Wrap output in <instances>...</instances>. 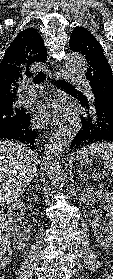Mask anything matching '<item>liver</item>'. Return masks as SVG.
I'll return each mask as SVG.
<instances>
[{
  "mask_svg": "<svg viewBox=\"0 0 113 279\" xmlns=\"http://www.w3.org/2000/svg\"><path fill=\"white\" fill-rule=\"evenodd\" d=\"M39 163L25 144L0 140V206L17 201L27 190Z\"/></svg>",
  "mask_w": 113,
  "mask_h": 279,
  "instance_id": "obj_1",
  "label": "liver"
}]
</instances>
